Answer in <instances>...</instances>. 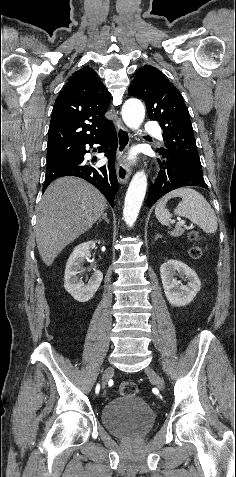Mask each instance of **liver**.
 I'll use <instances>...</instances> for the list:
<instances>
[{"label": "liver", "instance_id": "liver-1", "mask_svg": "<svg viewBox=\"0 0 236 477\" xmlns=\"http://www.w3.org/2000/svg\"><path fill=\"white\" fill-rule=\"evenodd\" d=\"M106 207L99 190L80 178L63 177L52 182L37 213L36 242L43 262L52 265L67 245L92 227Z\"/></svg>", "mask_w": 236, "mask_h": 477}]
</instances>
